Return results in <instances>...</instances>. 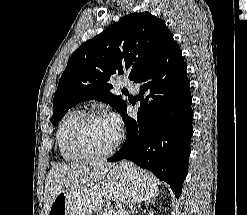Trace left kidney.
I'll list each match as a JSON object with an SVG mask.
<instances>
[{
  "label": "left kidney",
  "mask_w": 247,
  "mask_h": 215,
  "mask_svg": "<svg viewBox=\"0 0 247 215\" xmlns=\"http://www.w3.org/2000/svg\"><path fill=\"white\" fill-rule=\"evenodd\" d=\"M149 215H154V212L151 210V211L149 212Z\"/></svg>",
  "instance_id": "obj_1"
}]
</instances>
